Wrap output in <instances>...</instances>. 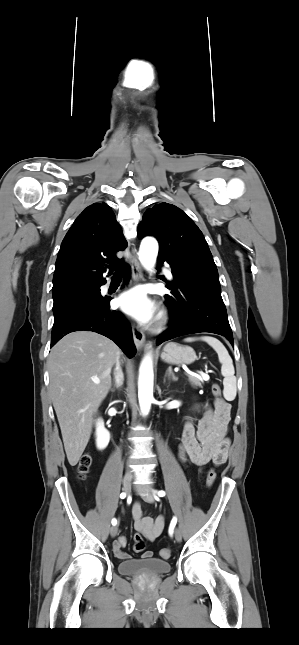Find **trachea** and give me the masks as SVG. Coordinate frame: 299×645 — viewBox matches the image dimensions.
<instances>
[{
  "mask_svg": "<svg viewBox=\"0 0 299 645\" xmlns=\"http://www.w3.org/2000/svg\"><path fill=\"white\" fill-rule=\"evenodd\" d=\"M115 269H116V273H115L114 275H115V276H122V274H123V269H122L121 263H119L118 265H116Z\"/></svg>",
  "mask_w": 299,
  "mask_h": 645,
  "instance_id": "trachea-1",
  "label": "trachea"
}]
</instances>
